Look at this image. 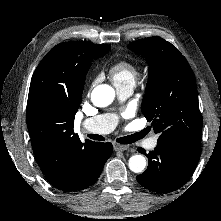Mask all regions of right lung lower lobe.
Listing matches in <instances>:
<instances>
[{
  "instance_id": "98d812e1",
  "label": "right lung lower lobe",
  "mask_w": 221,
  "mask_h": 221,
  "mask_svg": "<svg viewBox=\"0 0 221 221\" xmlns=\"http://www.w3.org/2000/svg\"><path fill=\"white\" fill-rule=\"evenodd\" d=\"M112 151L113 146L110 142H93L78 156L74 165V178L66 186L59 189L65 192H74L93 185L100 176Z\"/></svg>"
}]
</instances>
